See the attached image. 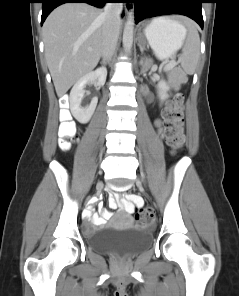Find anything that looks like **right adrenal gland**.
I'll return each mask as SVG.
<instances>
[{
    "mask_svg": "<svg viewBox=\"0 0 239 296\" xmlns=\"http://www.w3.org/2000/svg\"><path fill=\"white\" fill-rule=\"evenodd\" d=\"M108 63H109V61H108ZM101 64L106 65L107 62L106 61H102Z\"/></svg>",
    "mask_w": 239,
    "mask_h": 296,
    "instance_id": "right-adrenal-gland-1",
    "label": "right adrenal gland"
}]
</instances>
